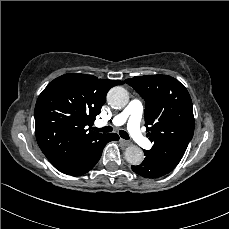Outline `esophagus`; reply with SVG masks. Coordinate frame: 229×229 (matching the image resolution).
Returning a JSON list of instances; mask_svg holds the SVG:
<instances>
[{"instance_id":"esophagus-1","label":"esophagus","mask_w":229,"mask_h":229,"mask_svg":"<svg viewBox=\"0 0 229 229\" xmlns=\"http://www.w3.org/2000/svg\"><path fill=\"white\" fill-rule=\"evenodd\" d=\"M120 142L124 145V146H129L130 142L124 139H120Z\"/></svg>"}]
</instances>
